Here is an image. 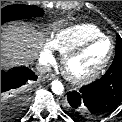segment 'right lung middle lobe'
I'll return each mask as SVG.
<instances>
[{
    "label": "right lung middle lobe",
    "mask_w": 122,
    "mask_h": 122,
    "mask_svg": "<svg viewBox=\"0 0 122 122\" xmlns=\"http://www.w3.org/2000/svg\"><path fill=\"white\" fill-rule=\"evenodd\" d=\"M44 14L42 8L30 5H9L1 9V24L7 21L27 17H39Z\"/></svg>",
    "instance_id": "obj_1"
}]
</instances>
